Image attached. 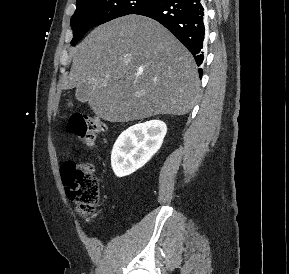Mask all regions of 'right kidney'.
Wrapping results in <instances>:
<instances>
[{"mask_svg":"<svg viewBox=\"0 0 289 274\" xmlns=\"http://www.w3.org/2000/svg\"><path fill=\"white\" fill-rule=\"evenodd\" d=\"M167 132L161 120L135 124L123 131L111 153V166L117 177L132 174L160 149Z\"/></svg>","mask_w":289,"mask_h":274,"instance_id":"obj_1","label":"right kidney"}]
</instances>
